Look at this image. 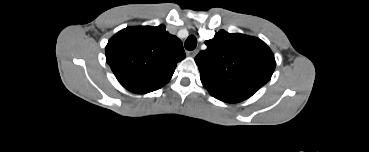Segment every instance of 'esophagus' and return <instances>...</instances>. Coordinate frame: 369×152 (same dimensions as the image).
Segmentation results:
<instances>
[{"mask_svg":"<svg viewBox=\"0 0 369 152\" xmlns=\"http://www.w3.org/2000/svg\"><path fill=\"white\" fill-rule=\"evenodd\" d=\"M198 52L199 51L197 49H195V50H192V51L187 52V55L194 58V57H196V55L198 54Z\"/></svg>","mask_w":369,"mask_h":152,"instance_id":"esophagus-1","label":"esophagus"}]
</instances>
